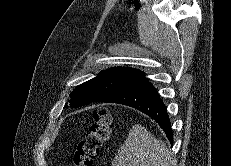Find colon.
I'll return each instance as SVG.
<instances>
[{"instance_id": "1", "label": "colon", "mask_w": 231, "mask_h": 166, "mask_svg": "<svg viewBox=\"0 0 231 166\" xmlns=\"http://www.w3.org/2000/svg\"><path fill=\"white\" fill-rule=\"evenodd\" d=\"M113 116L107 108H97L88 133L81 138L71 159L72 166H93L102 144L108 139Z\"/></svg>"}]
</instances>
